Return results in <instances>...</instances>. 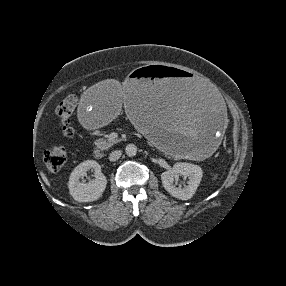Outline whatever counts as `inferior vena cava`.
<instances>
[{"mask_svg":"<svg viewBox=\"0 0 286 286\" xmlns=\"http://www.w3.org/2000/svg\"><path fill=\"white\" fill-rule=\"evenodd\" d=\"M121 155H122V152L120 150H115L110 153L109 160L116 161L121 157Z\"/></svg>","mask_w":286,"mask_h":286,"instance_id":"602c4592","label":"inferior vena cava"}]
</instances>
